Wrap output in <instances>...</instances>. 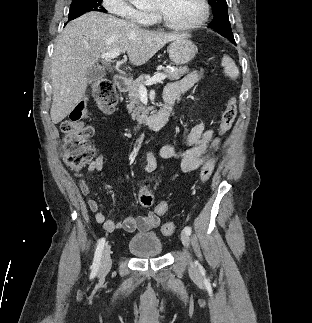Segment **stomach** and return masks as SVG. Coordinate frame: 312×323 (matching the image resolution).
<instances>
[{
  "label": "stomach",
  "instance_id": "0dacf381",
  "mask_svg": "<svg viewBox=\"0 0 312 323\" xmlns=\"http://www.w3.org/2000/svg\"><path fill=\"white\" fill-rule=\"evenodd\" d=\"M168 54L171 62L176 66H183L193 60L197 54V48L187 36H180L178 40H173L168 48Z\"/></svg>",
  "mask_w": 312,
  "mask_h": 323
}]
</instances>
